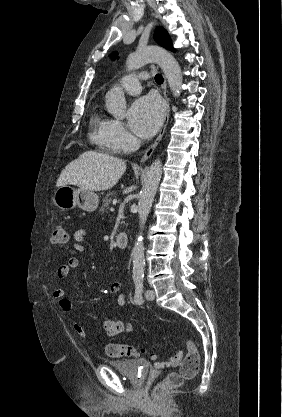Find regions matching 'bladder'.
<instances>
[{"label":"bladder","mask_w":282,"mask_h":417,"mask_svg":"<svg viewBox=\"0 0 282 417\" xmlns=\"http://www.w3.org/2000/svg\"><path fill=\"white\" fill-rule=\"evenodd\" d=\"M106 363L123 374L134 385L142 384L151 370L150 362L144 358L107 360Z\"/></svg>","instance_id":"obj_1"}]
</instances>
